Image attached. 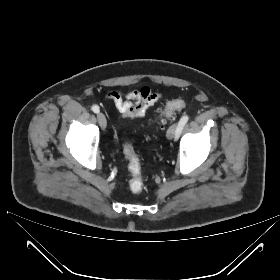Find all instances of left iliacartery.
<instances>
[{
    "mask_svg": "<svg viewBox=\"0 0 280 280\" xmlns=\"http://www.w3.org/2000/svg\"><path fill=\"white\" fill-rule=\"evenodd\" d=\"M189 117L187 115H184L181 117L179 123H178V130L175 136V139H177L183 129V127L185 126V124L188 122Z\"/></svg>",
    "mask_w": 280,
    "mask_h": 280,
    "instance_id": "left-iliac-artery-1",
    "label": "left iliac artery"
}]
</instances>
